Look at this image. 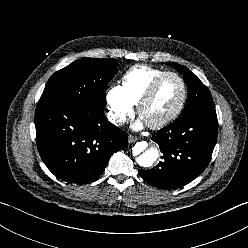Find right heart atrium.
<instances>
[{
	"mask_svg": "<svg viewBox=\"0 0 248 248\" xmlns=\"http://www.w3.org/2000/svg\"><path fill=\"white\" fill-rule=\"evenodd\" d=\"M112 121L122 125L134 113V105L125 96L121 86H113L106 93Z\"/></svg>",
	"mask_w": 248,
	"mask_h": 248,
	"instance_id": "right-heart-atrium-1",
	"label": "right heart atrium"
}]
</instances>
